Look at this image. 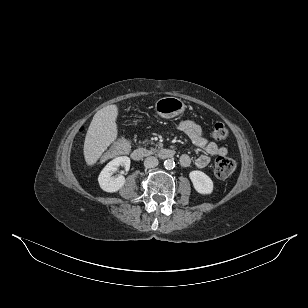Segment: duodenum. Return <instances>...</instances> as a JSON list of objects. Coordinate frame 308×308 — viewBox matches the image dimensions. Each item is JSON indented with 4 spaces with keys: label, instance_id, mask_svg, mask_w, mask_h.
I'll list each match as a JSON object with an SVG mask.
<instances>
[{
    "label": "duodenum",
    "instance_id": "1",
    "mask_svg": "<svg viewBox=\"0 0 308 308\" xmlns=\"http://www.w3.org/2000/svg\"><path fill=\"white\" fill-rule=\"evenodd\" d=\"M150 155H156L161 159H171L175 156V151L168 148H162L157 151H151L145 148H136L131 152V158L135 161L142 160Z\"/></svg>",
    "mask_w": 308,
    "mask_h": 308
}]
</instances>
